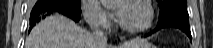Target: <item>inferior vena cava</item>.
Returning a JSON list of instances; mask_svg holds the SVG:
<instances>
[{
  "mask_svg": "<svg viewBox=\"0 0 213 48\" xmlns=\"http://www.w3.org/2000/svg\"><path fill=\"white\" fill-rule=\"evenodd\" d=\"M91 29L92 37L95 41H97L100 45L107 44V36L100 29V26L96 21H93Z\"/></svg>",
  "mask_w": 213,
  "mask_h": 48,
  "instance_id": "obj_1",
  "label": "inferior vena cava"
}]
</instances>
